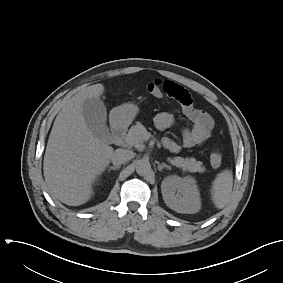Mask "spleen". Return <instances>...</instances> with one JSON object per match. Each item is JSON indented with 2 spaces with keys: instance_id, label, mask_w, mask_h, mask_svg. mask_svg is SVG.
<instances>
[{
  "instance_id": "1",
  "label": "spleen",
  "mask_w": 283,
  "mask_h": 283,
  "mask_svg": "<svg viewBox=\"0 0 283 283\" xmlns=\"http://www.w3.org/2000/svg\"><path fill=\"white\" fill-rule=\"evenodd\" d=\"M233 188V173L231 170H223L218 173L212 182L211 195L215 206L222 209L231 198Z\"/></svg>"
}]
</instances>
